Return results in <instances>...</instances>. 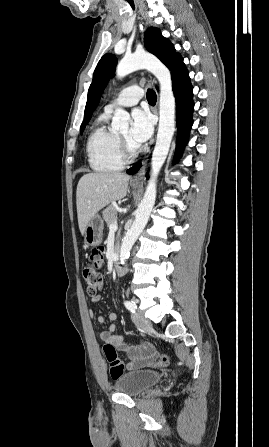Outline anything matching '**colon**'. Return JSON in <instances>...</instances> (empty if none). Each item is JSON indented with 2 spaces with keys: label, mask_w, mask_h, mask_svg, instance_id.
Returning <instances> with one entry per match:
<instances>
[{
  "label": "colon",
  "mask_w": 269,
  "mask_h": 447,
  "mask_svg": "<svg viewBox=\"0 0 269 447\" xmlns=\"http://www.w3.org/2000/svg\"><path fill=\"white\" fill-rule=\"evenodd\" d=\"M104 253L101 249H94L89 254V260L82 266V277L86 284V293L89 296H95L103 284V276L101 274L102 262ZM133 354L145 356L152 354V349L147 347H139L131 350ZM103 353L109 363L108 374L114 379H120L126 373V367L123 362L119 360L118 352L111 344L103 346ZM170 364V360L166 355H158L151 359L149 365L151 367H166ZM144 364L139 363L135 367L136 370H141Z\"/></svg>",
  "instance_id": "1"
}]
</instances>
